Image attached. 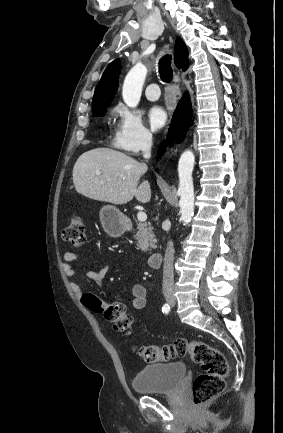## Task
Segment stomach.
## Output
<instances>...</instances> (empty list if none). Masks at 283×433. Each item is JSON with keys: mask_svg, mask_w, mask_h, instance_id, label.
Listing matches in <instances>:
<instances>
[{"mask_svg": "<svg viewBox=\"0 0 283 433\" xmlns=\"http://www.w3.org/2000/svg\"><path fill=\"white\" fill-rule=\"evenodd\" d=\"M100 217L105 233L109 237H121L127 229V217L113 204H106L100 210Z\"/></svg>", "mask_w": 283, "mask_h": 433, "instance_id": "stomach-1", "label": "stomach"}]
</instances>
